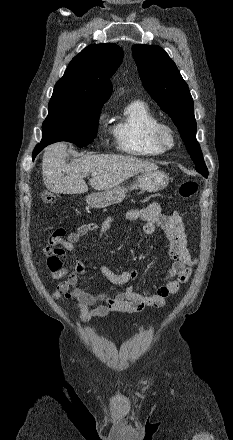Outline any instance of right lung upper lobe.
Segmentation results:
<instances>
[{
    "label": "right lung upper lobe",
    "instance_id": "cb5924a9",
    "mask_svg": "<svg viewBox=\"0 0 233 440\" xmlns=\"http://www.w3.org/2000/svg\"><path fill=\"white\" fill-rule=\"evenodd\" d=\"M122 59L123 50L114 43L86 47L69 63L50 102L104 104L112 93L109 79Z\"/></svg>",
    "mask_w": 233,
    "mask_h": 440
}]
</instances>
